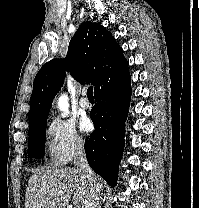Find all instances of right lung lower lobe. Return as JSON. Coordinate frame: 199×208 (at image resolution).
Segmentation results:
<instances>
[{
  "label": "right lung lower lobe",
  "instance_id": "1",
  "mask_svg": "<svg viewBox=\"0 0 199 208\" xmlns=\"http://www.w3.org/2000/svg\"><path fill=\"white\" fill-rule=\"evenodd\" d=\"M128 74L95 93L90 116L95 130L85 141L89 165L111 187L117 184L119 163L124 150L125 120L131 97Z\"/></svg>",
  "mask_w": 199,
  "mask_h": 208
}]
</instances>
